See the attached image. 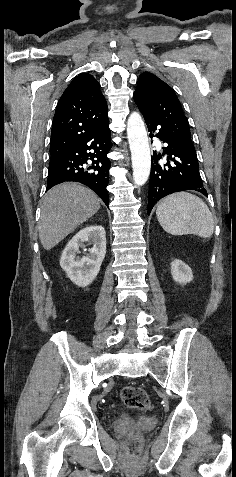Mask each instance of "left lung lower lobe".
Masks as SVG:
<instances>
[{
	"mask_svg": "<svg viewBox=\"0 0 236 477\" xmlns=\"http://www.w3.org/2000/svg\"><path fill=\"white\" fill-rule=\"evenodd\" d=\"M150 137H158L163 143V153L153 151L151 160V175L148 192V215L155 203L161 198L180 191L195 190L207 196L206 189L199 173L196 151L187 149L175 142L170 136L142 112ZM157 133L154 135V133ZM167 157V163L162 165L158 160Z\"/></svg>",
	"mask_w": 236,
	"mask_h": 477,
	"instance_id": "1",
	"label": "left lung lower lobe"
}]
</instances>
